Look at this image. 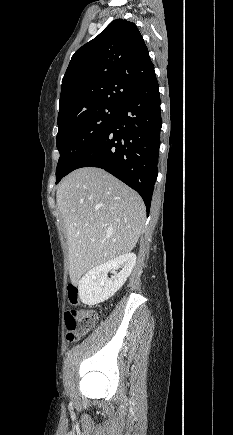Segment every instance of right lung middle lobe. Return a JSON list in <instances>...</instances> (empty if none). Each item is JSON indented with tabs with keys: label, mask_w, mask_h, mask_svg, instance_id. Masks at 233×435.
I'll use <instances>...</instances> for the list:
<instances>
[{
	"label": "right lung middle lobe",
	"mask_w": 233,
	"mask_h": 435,
	"mask_svg": "<svg viewBox=\"0 0 233 435\" xmlns=\"http://www.w3.org/2000/svg\"><path fill=\"white\" fill-rule=\"evenodd\" d=\"M119 108L110 105L99 106L58 123L56 143L60 158L56 168V184L104 135Z\"/></svg>",
	"instance_id": "1"
}]
</instances>
